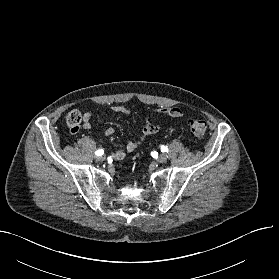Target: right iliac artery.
<instances>
[{"instance_id":"1","label":"right iliac artery","mask_w":279,"mask_h":279,"mask_svg":"<svg viewBox=\"0 0 279 279\" xmlns=\"http://www.w3.org/2000/svg\"><path fill=\"white\" fill-rule=\"evenodd\" d=\"M95 153L97 156H101V155H103L104 151L102 149H99Z\"/></svg>"}]
</instances>
